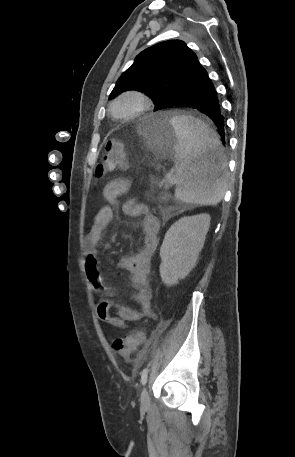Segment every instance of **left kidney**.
<instances>
[{"label": "left kidney", "mask_w": 295, "mask_h": 457, "mask_svg": "<svg viewBox=\"0 0 295 457\" xmlns=\"http://www.w3.org/2000/svg\"><path fill=\"white\" fill-rule=\"evenodd\" d=\"M210 226V216L182 217L167 231L160 248V276L167 286L185 278L195 266Z\"/></svg>", "instance_id": "obj_1"}]
</instances>
